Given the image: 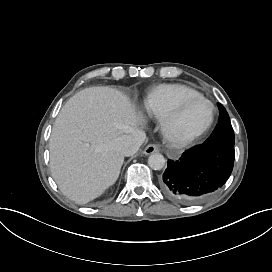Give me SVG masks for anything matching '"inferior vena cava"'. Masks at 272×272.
Returning a JSON list of instances; mask_svg holds the SVG:
<instances>
[{
    "label": "inferior vena cava",
    "mask_w": 272,
    "mask_h": 272,
    "mask_svg": "<svg viewBox=\"0 0 272 272\" xmlns=\"http://www.w3.org/2000/svg\"><path fill=\"white\" fill-rule=\"evenodd\" d=\"M146 141V133L142 130H135L130 135L121 136L115 145L116 150L124 156H131Z\"/></svg>",
    "instance_id": "inferior-vena-cava-1"
}]
</instances>
